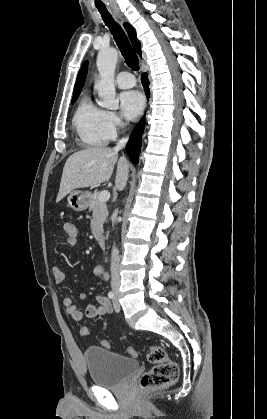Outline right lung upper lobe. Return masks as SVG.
Wrapping results in <instances>:
<instances>
[{
  "instance_id": "cb5924a9",
  "label": "right lung upper lobe",
  "mask_w": 267,
  "mask_h": 419,
  "mask_svg": "<svg viewBox=\"0 0 267 419\" xmlns=\"http://www.w3.org/2000/svg\"><path fill=\"white\" fill-rule=\"evenodd\" d=\"M124 27L128 33L129 39L132 43V45L134 46V49L136 50V52L139 54V56H141V45L139 40L136 38V32L134 30V28L128 24V23H124ZM87 67H88V62L85 61L82 66L81 69L78 73L77 79H76V83H75V87H74V91H73V96L79 95L81 92V89L83 88L85 79H86V74H87Z\"/></svg>"
}]
</instances>
